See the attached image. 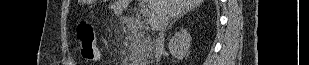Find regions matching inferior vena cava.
<instances>
[{
  "label": "inferior vena cava",
  "mask_w": 309,
  "mask_h": 65,
  "mask_svg": "<svg viewBox=\"0 0 309 65\" xmlns=\"http://www.w3.org/2000/svg\"><path fill=\"white\" fill-rule=\"evenodd\" d=\"M168 25V20L164 21L161 25V27L159 28V34L158 37L156 39V44H155V59L156 62H160L161 59V54L164 48V37H165V31H166V27Z\"/></svg>",
  "instance_id": "inferior-vena-cava-1"
}]
</instances>
